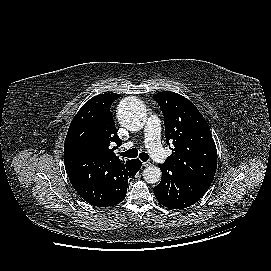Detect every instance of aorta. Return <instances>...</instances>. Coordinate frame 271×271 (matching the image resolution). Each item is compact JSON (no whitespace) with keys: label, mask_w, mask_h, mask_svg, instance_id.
Instances as JSON below:
<instances>
[{"label":"aorta","mask_w":271,"mask_h":271,"mask_svg":"<svg viewBox=\"0 0 271 271\" xmlns=\"http://www.w3.org/2000/svg\"><path fill=\"white\" fill-rule=\"evenodd\" d=\"M117 119L120 124L130 131H138L146 122V109L141 101L134 97L123 99L117 109ZM159 167L150 165L143 171V178L147 183L155 184L161 179Z\"/></svg>","instance_id":"obj_1"}]
</instances>
